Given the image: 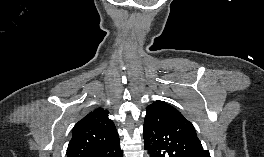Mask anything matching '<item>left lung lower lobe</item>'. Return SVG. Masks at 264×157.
Instances as JSON below:
<instances>
[{"instance_id":"0a47b994","label":"left lung lower lobe","mask_w":264,"mask_h":157,"mask_svg":"<svg viewBox=\"0 0 264 157\" xmlns=\"http://www.w3.org/2000/svg\"><path fill=\"white\" fill-rule=\"evenodd\" d=\"M145 150L149 151L150 157H157V154L153 150L146 148V147H145Z\"/></svg>"}]
</instances>
